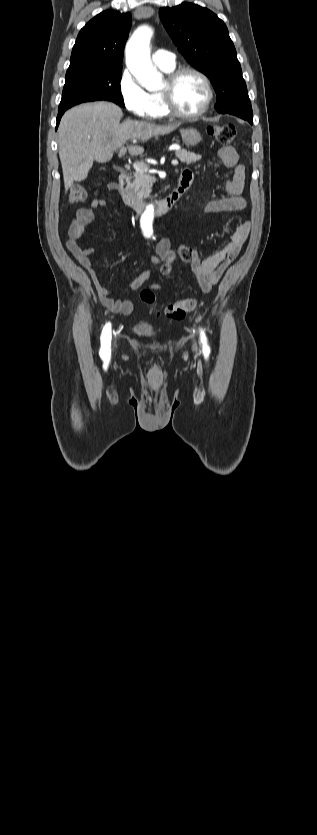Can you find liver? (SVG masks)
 Instances as JSON below:
<instances>
[{
  "label": "liver",
  "instance_id": "1",
  "mask_svg": "<svg viewBox=\"0 0 317 835\" xmlns=\"http://www.w3.org/2000/svg\"><path fill=\"white\" fill-rule=\"evenodd\" d=\"M123 116L119 106L110 102L84 103L63 115L58 128L59 157L66 191L74 181L87 178L93 162L105 163L114 151L128 140L146 142L152 136L166 135L179 124L156 125L137 120L120 123ZM132 156L142 155L141 146H128Z\"/></svg>",
  "mask_w": 317,
  "mask_h": 835
}]
</instances>
